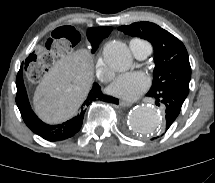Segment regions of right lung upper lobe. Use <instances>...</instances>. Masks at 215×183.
Returning <instances> with one entry per match:
<instances>
[{
	"label": "right lung upper lobe",
	"instance_id": "1",
	"mask_svg": "<svg viewBox=\"0 0 215 183\" xmlns=\"http://www.w3.org/2000/svg\"><path fill=\"white\" fill-rule=\"evenodd\" d=\"M69 28V27H67ZM99 32L103 33L106 35V37L110 34V32L112 31L111 27H101V28H96Z\"/></svg>",
	"mask_w": 215,
	"mask_h": 183
}]
</instances>
